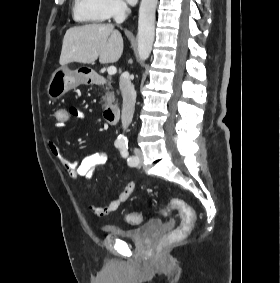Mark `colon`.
Segmentation results:
<instances>
[{
	"mask_svg": "<svg viewBox=\"0 0 280 283\" xmlns=\"http://www.w3.org/2000/svg\"><path fill=\"white\" fill-rule=\"evenodd\" d=\"M71 115L68 114V107H56L54 111V122L70 123ZM176 209L179 212V226L168 234L169 239L177 240L184 238L194 227L196 217L191 206L181 198H172L168 205L162 210L163 214ZM125 219L130 224H138L142 221V216L138 212H129L125 214Z\"/></svg>",
	"mask_w": 280,
	"mask_h": 283,
	"instance_id": "5ec220e1",
	"label": "colon"
}]
</instances>
